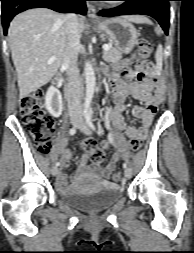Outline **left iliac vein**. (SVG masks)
Segmentation results:
<instances>
[{
    "instance_id": "1",
    "label": "left iliac vein",
    "mask_w": 194,
    "mask_h": 253,
    "mask_svg": "<svg viewBox=\"0 0 194 253\" xmlns=\"http://www.w3.org/2000/svg\"><path fill=\"white\" fill-rule=\"evenodd\" d=\"M79 130L86 135L91 134L90 128L87 126V124L84 121H81V123L79 124ZM124 174H125V177L128 179L132 177V171L129 168L125 169Z\"/></svg>"
}]
</instances>
